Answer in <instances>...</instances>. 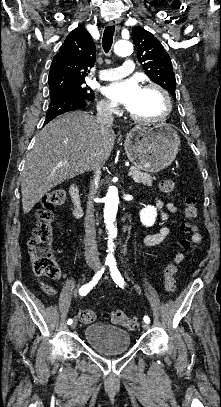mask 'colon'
I'll return each instance as SVG.
<instances>
[{"label": "colon", "instance_id": "obj_1", "mask_svg": "<svg viewBox=\"0 0 221 407\" xmlns=\"http://www.w3.org/2000/svg\"><path fill=\"white\" fill-rule=\"evenodd\" d=\"M160 189L165 193H170L174 189L172 179H163L160 181ZM66 200V192L62 188H54L47 193L37 206L35 211L36 222L32 230V236L28 241V251L31 258L34 273L39 277L54 278L57 277L58 268L51 253V245L54 240L53 232V210L62 206ZM197 200L194 196H188L184 202V219L181 222V230L185 234L179 240L181 252L190 248L188 236L191 234V220L197 214ZM181 261L180 257L171 260L164 268V289L168 293H173L177 288L176 273L177 265ZM78 319L83 324L93 323L97 314L93 310L82 309L78 311ZM112 323L120 325L129 330H135L139 326L136 318L126 315L123 311L116 310L106 313Z\"/></svg>", "mask_w": 221, "mask_h": 407}]
</instances>
